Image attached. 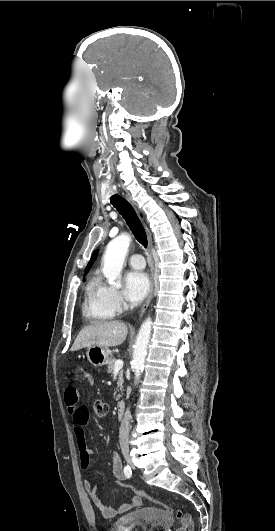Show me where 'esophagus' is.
Segmentation results:
<instances>
[{
	"label": "esophagus",
	"mask_w": 275,
	"mask_h": 531,
	"mask_svg": "<svg viewBox=\"0 0 275 531\" xmlns=\"http://www.w3.org/2000/svg\"><path fill=\"white\" fill-rule=\"evenodd\" d=\"M146 233H147L149 247L152 248V244H153L152 235H151L150 229L147 226H146ZM153 292H154V265L152 264V266H151V274H150V292L148 294L147 299L144 301V303L141 306L140 315L143 314L145 312V310L147 309V307H148V305H149V303H150V301L152 299Z\"/></svg>",
	"instance_id": "34e87169"
}]
</instances>
